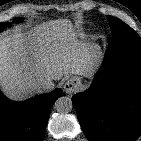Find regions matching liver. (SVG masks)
<instances>
[{
	"label": "liver",
	"instance_id": "obj_1",
	"mask_svg": "<svg viewBox=\"0 0 141 141\" xmlns=\"http://www.w3.org/2000/svg\"><path fill=\"white\" fill-rule=\"evenodd\" d=\"M69 21H48L30 33L15 31L0 36V87L12 98L36 94L45 78L60 80L68 74L89 76L101 58L98 46H68Z\"/></svg>",
	"mask_w": 141,
	"mask_h": 141
}]
</instances>
